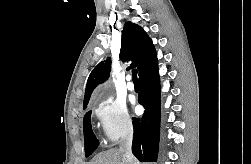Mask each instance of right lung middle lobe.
Wrapping results in <instances>:
<instances>
[{
	"mask_svg": "<svg viewBox=\"0 0 251 164\" xmlns=\"http://www.w3.org/2000/svg\"><path fill=\"white\" fill-rule=\"evenodd\" d=\"M87 106H83L85 109ZM91 111H89L84 117V139H85V155L88 157L91 155L98 146V140L95 138L90 122Z\"/></svg>",
	"mask_w": 251,
	"mask_h": 164,
	"instance_id": "1",
	"label": "right lung middle lobe"
}]
</instances>
